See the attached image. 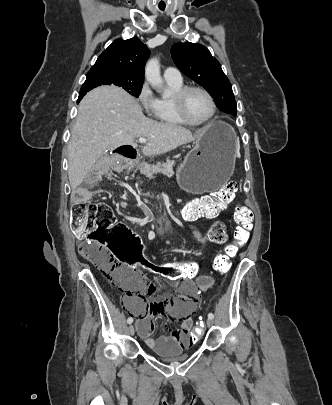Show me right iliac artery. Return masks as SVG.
Here are the masks:
<instances>
[{"label":"right iliac artery","mask_w":332,"mask_h":405,"mask_svg":"<svg viewBox=\"0 0 332 405\" xmlns=\"http://www.w3.org/2000/svg\"><path fill=\"white\" fill-rule=\"evenodd\" d=\"M133 322V318L132 317H129L128 319H127V323L128 324H131Z\"/></svg>","instance_id":"obj_1"}]
</instances>
